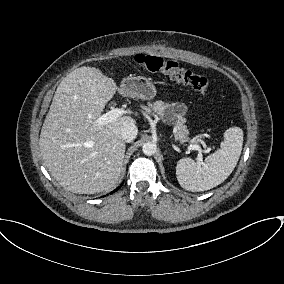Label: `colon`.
Wrapping results in <instances>:
<instances>
[{
	"mask_svg": "<svg viewBox=\"0 0 284 284\" xmlns=\"http://www.w3.org/2000/svg\"><path fill=\"white\" fill-rule=\"evenodd\" d=\"M135 62L148 71L164 73L175 82L188 86L200 94H205L208 90V81L204 76L180 67L175 61L139 54L135 57Z\"/></svg>",
	"mask_w": 284,
	"mask_h": 284,
	"instance_id": "1",
	"label": "colon"
}]
</instances>
